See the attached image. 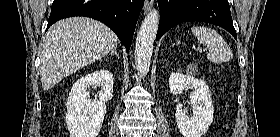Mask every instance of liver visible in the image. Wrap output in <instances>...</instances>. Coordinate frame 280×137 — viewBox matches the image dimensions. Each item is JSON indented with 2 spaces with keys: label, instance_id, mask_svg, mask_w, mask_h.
Masks as SVG:
<instances>
[{
  "label": "liver",
  "instance_id": "6515ba94",
  "mask_svg": "<svg viewBox=\"0 0 280 137\" xmlns=\"http://www.w3.org/2000/svg\"><path fill=\"white\" fill-rule=\"evenodd\" d=\"M117 42L115 33L97 20L73 17L58 21L47 31L42 46L43 89H51L64 77L101 59Z\"/></svg>",
  "mask_w": 280,
  "mask_h": 137
}]
</instances>
